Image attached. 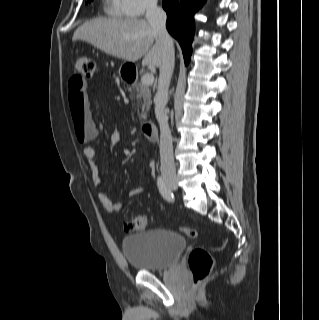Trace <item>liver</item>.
<instances>
[{
	"instance_id": "6515ba94",
	"label": "liver",
	"mask_w": 319,
	"mask_h": 320,
	"mask_svg": "<svg viewBox=\"0 0 319 320\" xmlns=\"http://www.w3.org/2000/svg\"><path fill=\"white\" fill-rule=\"evenodd\" d=\"M77 40L125 61L143 57V66L160 67L162 63L163 45L144 19H94L76 29L72 41Z\"/></svg>"
}]
</instances>
